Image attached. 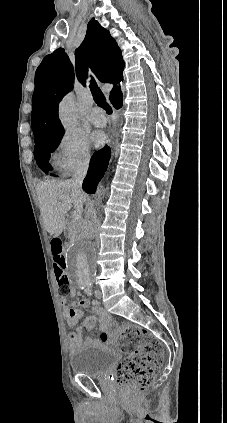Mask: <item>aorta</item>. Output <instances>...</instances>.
Segmentation results:
<instances>
[{
  "mask_svg": "<svg viewBox=\"0 0 227 423\" xmlns=\"http://www.w3.org/2000/svg\"><path fill=\"white\" fill-rule=\"evenodd\" d=\"M59 119L66 132H74L77 127V107L72 94L63 98L59 105ZM102 201V193H97L96 203ZM97 270V256L94 246L87 242L72 245L67 252L66 271L77 286L86 287L93 281Z\"/></svg>",
  "mask_w": 227,
  "mask_h": 423,
  "instance_id": "obj_1",
  "label": "aorta"
}]
</instances>
